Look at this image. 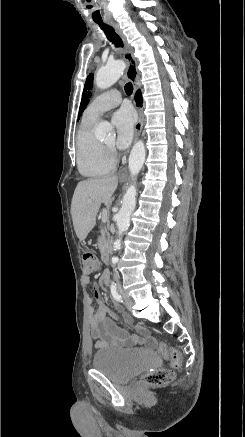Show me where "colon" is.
Masks as SVG:
<instances>
[{"label":"colon","mask_w":245,"mask_h":437,"mask_svg":"<svg viewBox=\"0 0 245 437\" xmlns=\"http://www.w3.org/2000/svg\"><path fill=\"white\" fill-rule=\"evenodd\" d=\"M101 270V264L92 250H86L83 254V271L86 275L97 274ZM158 351L165 358L170 359L171 368L154 370L144 376L145 383L149 385H164L170 383L175 377V370L181 367L179 352L165 343L158 345Z\"/></svg>","instance_id":"colon-1"}]
</instances>
